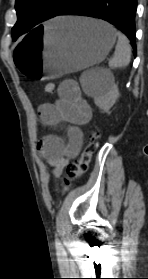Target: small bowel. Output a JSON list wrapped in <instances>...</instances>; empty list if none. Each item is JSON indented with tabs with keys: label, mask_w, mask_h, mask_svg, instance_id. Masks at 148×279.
Here are the masks:
<instances>
[{
	"label": "small bowel",
	"mask_w": 148,
	"mask_h": 279,
	"mask_svg": "<svg viewBox=\"0 0 148 279\" xmlns=\"http://www.w3.org/2000/svg\"><path fill=\"white\" fill-rule=\"evenodd\" d=\"M41 122L46 126L64 124L66 138L55 134L45 135L38 143V152L52 168V176L60 177L70 158L75 156L82 144L80 126L92 117L89 104L82 98L77 82L65 80L58 88V99L44 103L38 109Z\"/></svg>",
	"instance_id": "c3829d8e"
}]
</instances>
